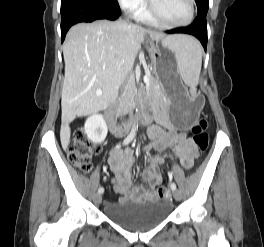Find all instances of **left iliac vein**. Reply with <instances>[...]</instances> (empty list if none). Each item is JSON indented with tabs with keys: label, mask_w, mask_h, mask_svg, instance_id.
I'll list each match as a JSON object with an SVG mask.
<instances>
[{
	"label": "left iliac vein",
	"mask_w": 264,
	"mask_h": 247,
	"mask_svg": "<svg viewBox=\"0 0 264 247\" xmlns=\"http://www.w3.org/2000/svg\"><path fill=\"white\" fill-rule=\"evenodd\" d=\"M173 196L176 200H180L181 199V192L179 190H174Z\"/></svg>",
	"instance_id": "1"
}]
</instances>
